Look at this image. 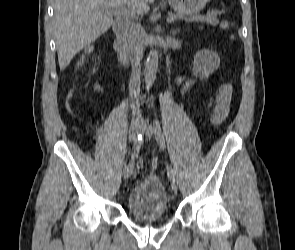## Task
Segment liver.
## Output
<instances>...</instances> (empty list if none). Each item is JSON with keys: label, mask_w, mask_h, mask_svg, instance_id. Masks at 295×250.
I'll use <instances>...</instances> for the list:
<instances>
[{"label": "liver", "mask_w": 295, "mask_h": 250, "mask_svg": "<svg viewBox=\"0 0 295 250\" xmlns=\"http://www.w3.org/2000/svg\"><path fill=\"white\" fill-rule=\"evenodd\" d=\"M154 0H55L54 34L60 70L84 47L95 42L113 24L110 8L128 5L137 14L148 13Z\"/></svg>", "instance_id": "liver-1"}]
</instances>
